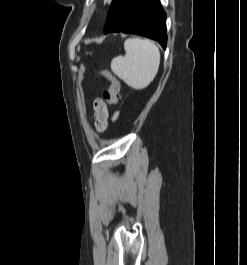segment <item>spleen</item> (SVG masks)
<instances>
[{
  "label": "spleen",
  "mask_w": 247,
  "mask_h": 265,
  "mask_svg": "<svg viewBox=\"0 0 247 265\" xmlns=\"http://www.w3.org/2000/svg\"><path fill=\"white\" fill-rule=\"evenodd\" d=\"M125 56L111 61L112 71L135 90L146 88L155 78L160 65L158 47L148 39L129 38L124 43Z\"/></svg>",
  "instance_id": "3e777b00"
}]
</instances>
